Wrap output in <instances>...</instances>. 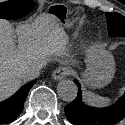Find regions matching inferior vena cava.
Wrapping results in <instances>:
<instances>
[{"label": "inferior vena cava", "mask_w": 125, "mask_h": 125, "mask_svg": "<svg viewBox=\"0 0 125 125\" xmlns=\"http://www.w3.org/2000/svg\"><path fill=\"white\" fill-rule=\"evenodd\" d=\"M44 63L40 62L35 64L34 66L26 69L22 73L23 80H33L40 75V69L43 67Z\"/></svg>", "instance_id": "1"}]
</instances>
